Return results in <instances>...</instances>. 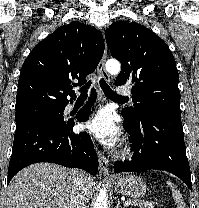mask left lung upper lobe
Returning <instances> with one entry per match:
<instances>
[{
	"instance_id": "5c2ea615",
	"label": "left lung upper lobe",
	"mask_w": 199,
	"mask_h": 208,
	"mask_svg": "<svg viewBox=\"0 0 199 208\" xmlns=\"http://www.w3.org/2000/svg\"><path fill=\"white\" fill-rule=\"evenodd\" d=\"M111 55L121 62L116 85L133 83V108L122 114L139 122L146 113H181L179 75L175 59L167 44L148 28L119 21L105 32Z\"/></svg>"
}]
</instances>
